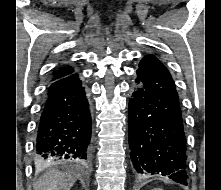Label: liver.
Listing matches in <instances>:
<instances>
[{
    "mask_svg": "<svg viewBox=\"0 0 221 190\" xmlns=\"http://www.w3.org/2000/svg\"><path fill=\"white\" fill-rule=\"evenodd\" d=\"M76 178L54 169L46 171L35 183L34 190H70Z\"/></svg>",
    "mask_w": 221,
    "mask_h": 190,
    "instance_id": "liver-1",
    "label": "liver"
}]
</instances>
